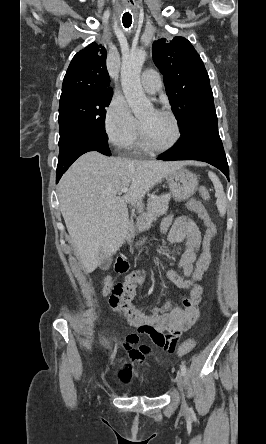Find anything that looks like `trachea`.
<instances>
[{"label":"trachea","instance_id":"1","mask_svg":"<svg viewBox=\"0 0 266 444\" xmlns=\"http://www.w3.org/2000/svg\"><path fill=\"white\" fill-rule=\"evenodd\" d=\"M122 23L125 28H129L132 24V15L129 12L123 14Z\"/></svg>","mask_w":266,"mask_h":444}]
</instances>
